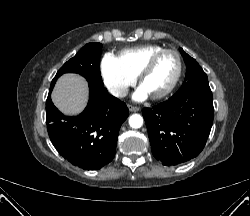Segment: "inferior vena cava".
<instances>
[{
	"label": "inferior vena cava",
	"instance_id": "inferior-vena-cava-1",
	"mask_svg": "<svg viewBox=\"0 0 250 216\" xmlns=\"http://www.w3.org/2000/svg\"><path fill=\"white\" fill-rule=\"evenodd\" d=\"M109 92L115 97H125L128 94V89L119 86H112L109 88Z\"/></svg>",
	"mask_w": 250,
	"mask_h": 216
}]
</instances>
